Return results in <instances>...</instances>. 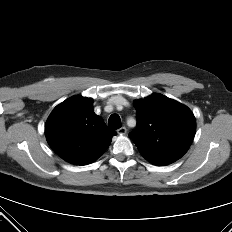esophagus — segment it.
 <instances>
[{
    "instance_id": "1",
    "label": "esophagus",
    "mask_w": 232,
    "mask_h": 232,
    "mask_svg": "<svg viewBox=\"0 0 232 232\" xmlns=\"http://www.w3.org/2000/svg\"><path fill=\"white\" fill-rule=\"evenodd\" d=\"M117 133L120 135H125L127 133L126 127H121L117 130Z\"/></svg>"
}]
</instances>
